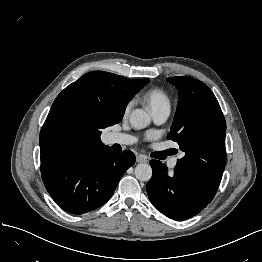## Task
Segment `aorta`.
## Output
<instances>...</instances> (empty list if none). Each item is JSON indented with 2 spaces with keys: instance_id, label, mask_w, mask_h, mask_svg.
<instances>
[{
  "instance_id": "obj_1",
  "label": "aorta",
  "mask_w": 262,
  "mask_h": 262,
  "mask_svg": "<svg viewBox=\"0 0 262 262\" xmlns=\"http://www.w3.org/2000/svg\"><path fill=\"white\" fill-rule=\"evenodd\" d=\"M129 121L134 128L143 129L150 124L151 117L146 111L142 109H135L130 114ZM135 177L139 181H149L152 177L151 166L146 163L138 164L135 167Z\"/></svg>"
}]
</instances>
